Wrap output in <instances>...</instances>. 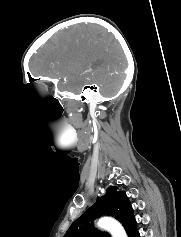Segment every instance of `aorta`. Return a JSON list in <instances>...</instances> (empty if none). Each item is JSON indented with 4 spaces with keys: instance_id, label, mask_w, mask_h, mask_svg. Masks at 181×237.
<instances>
[{
    "instance_id": "762f6f07",
    "label": "aorta",
    "mask_w": 181,
    "mask_h": 237,
    "mask_svg": "<svg viewBox=\"0 0 181 237\" xmlns=\"http://www.w3.org/2000/svg\"><path fill=\"white\" fill-rule=\"evenodd\" d=\"M98 227L108 230L112 237H127L125 230L119 222L110 217H103L97 223Z\"/></svg>"
}]
</instances>
